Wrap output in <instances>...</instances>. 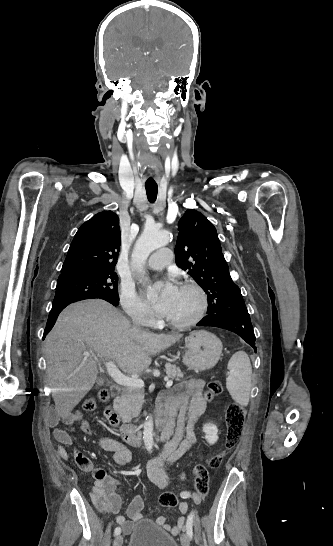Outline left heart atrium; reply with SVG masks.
I'll return each instance as SVG.
<instances>
[{"mask_svg":"<svg viewBox=\"0 0 333 546\" xmlns=\"http://www.w3.org/2000/svg\"><path fill=\"white\" fill-rule=\"evenodd\" d=\"M178 287L170 280L166 281L159 290L158 295L151 300L153 309L162 316H167L177 294ZM157 288L149 291L151 296L155 295Z\"/></svg>","mask_w":333,"mask_h":546,"instance_id":"obj_1","label":"left heart atrium"}]
</instances>
